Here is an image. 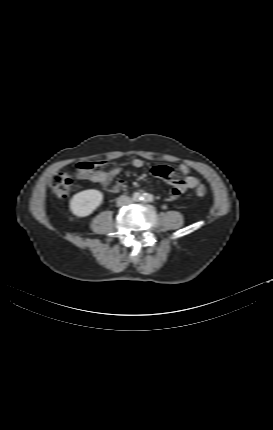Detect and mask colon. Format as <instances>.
<instances>
[{
  "instance_id": "5ec220e1",
  "label": "colon",
  "mask_w": 273,
  "mask_h": 430,
  "mask_svg": "<svg viewBox=\"0 0 273 430\" xmlns=\"http://www.w3.org/2000/svg\"><path fill=\"white\" fill-rule=\"evenodd\" d=\"M75 178L79 177L70 172H62L55 175L51 181V189L54 195L58 198L66 197L75 183ZM206 193L207 187L203 184L198 185L195 189V194L198 197H203Z\"/></svg>"
}]
</instances>
